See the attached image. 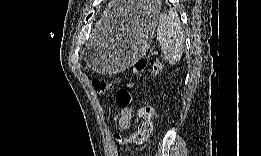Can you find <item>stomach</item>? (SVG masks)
I'll return each mask as SVG.
<instances>
[{
	"label": "stomach",
	"mask_w": 261,
	"mask_h": 156,
	"mask_svg": "<svg viewBox=\"0 0 261 156\" xmlns=\"http://www.w3.org/2000/svg\"><path fill=\"white\" fill-rule=\"evenodd\" d=\"M157 8L141 9L110 34L98 35L90 51V63L98 72L120 71L145 55L157 25Z\"/></svg>",
	"instance_id": "0dacf381"
}]
</instances>
